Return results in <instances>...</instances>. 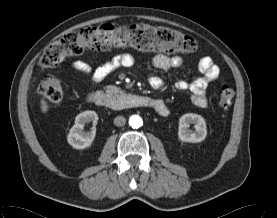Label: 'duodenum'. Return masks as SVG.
I'll return each mask as SVG.
<instances>
[{
    "label": "duodenum",
    "mask_w": 277,
    "mask_h": 218,
    "mask_svg": "<svg viewBox=\"0 0 277 218\" xmlns=\"http://www.w3.org/2000/svg\"><path fill=\"white\" fill-rule=\"evenodd\" d=\"M87 98L90 103L113 111H120L135 107H148L157 111L162 105L160 100L138 94H123L118 97L110 98L105 92L94 91L90 92ZM168 113L169 109L167 107V112L161 115L165 116Z\"/></svg>",
    "instance_id": "410a0bca"
}]
</instances>
